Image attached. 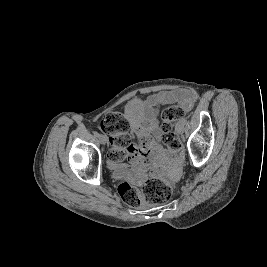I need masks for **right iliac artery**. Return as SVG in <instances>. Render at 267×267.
<instances>
[{
    "label": "right iliac artery",
    "instance_id": "obj_1",
    "mask_svg": "<svg viewBox=\"0 0 267 267\" xmlns=\"http://www.w3.org/2000/svg\"><path fill=\"white\" fill-rule=\"evenodd\" d=\"M94 135L98 137L99 136V133L97 131H95L94 132Z\"/></svg>",
    "mask_w": 267,
    "mask_h": 267
}]
</instances>
